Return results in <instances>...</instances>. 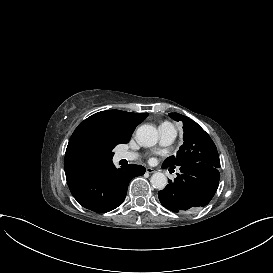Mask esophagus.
<instances>
[{"label":"esophagus","instance_id":"esophagus-1","mask_svg":"<svg viewBox=\"0 0 273 273\" xmlns=\"http://www.w3.org/2000/svg\"><path fill=\"white\" fill-rule=\"evenodd\" d=\"M146 172H147V173H154L155 170H154L153 168L147 167V168H146Z\"/></svg>","mask_w":273,"mask_h":273}]
</instances>
